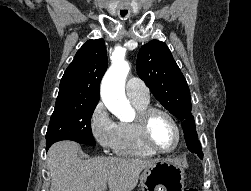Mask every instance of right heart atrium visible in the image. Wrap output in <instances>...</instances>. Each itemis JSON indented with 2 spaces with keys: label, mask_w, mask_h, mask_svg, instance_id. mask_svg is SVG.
<instances>
[{
  "label": "right heart atrium",
  "mask_w": 251,
  "mask_h": 191,
  "mask_svg": "<svg viewBox=\"0 0 251 191\" xmlns=\"http://www.w3.org/2000/svg\"><path fill=\"white\" fill-rule=\"evenodd\" d=\"M89 131L104 152L115 151L119 141V124L110 115L103 101L93 107L89 115Z\"/></svg>",
  "instance_id": "right-heart-atrium-1"
}]
</instances>
